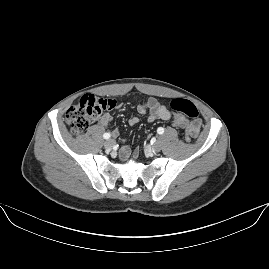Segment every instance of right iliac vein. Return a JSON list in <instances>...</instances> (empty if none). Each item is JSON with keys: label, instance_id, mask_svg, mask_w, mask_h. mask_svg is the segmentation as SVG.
Returning <instances> with one entry per match:
<instances>
[{"label": "right iliac vein", "instance_id": "right-iliac-vein-1", "mask_svg": "<svg viewBox=\"0 0 269 269\" xmlns=\"http://www.w3.org/2000/svg\"><path fill=\"white\" fill-rule=\"evenodd\" d=\"M114 144H115V141L112 139H109L104 143V147L106 149H111L114 146Z\"/></svg>", "mask_w": 269, "mask_h": 269}]
</instances>
